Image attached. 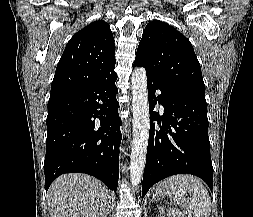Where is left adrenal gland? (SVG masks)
<instances>
[{
  "label": "left adrenal gland",
  "instance_id": "1",
  "mask_svg": "<svg viewBox=\"0 0 253 217\" xmlns=\"http://www.w3.org/2000/svg\"><path fill=\"white\" fill-rule=\"evenodd\" d=\"M155 199V196H153L152 201Z\"/></svg>",
  "mask_w": 253,
  "mask_h": 217
}]
</instances>
